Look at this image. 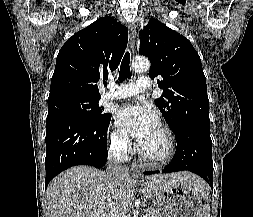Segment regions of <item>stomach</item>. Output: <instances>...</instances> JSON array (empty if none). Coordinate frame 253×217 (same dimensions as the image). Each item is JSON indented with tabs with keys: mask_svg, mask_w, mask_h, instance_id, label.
<instances>
[{
	"mask_svg": "<svg viewBox=\"0 0 253 217\" xmlns=\"http://www.w3.org/2000/svg\"><path fill=\"white\" fill-rule=\"evenodd\" d=\"M148 188L146 182L140 184ZM161 217H202L203 192L197 188L165 183L162 188L151 191Z\"/></svg>",
	"mask_w": 253,
	"mask_h": 217,
	"instance_id": "1",
	"label": "stomach"
}]
</instances>
